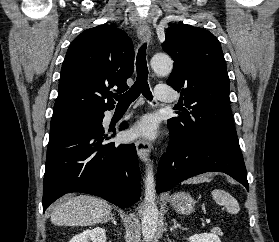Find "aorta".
Here are the masks:
<instances>
[{"mask_svg":"<svg viewBox=\"0 0 279 242\" xmlns=\"http://www.w3.org/2000/svg\"><path fill=\"white\" fill-rule=\"evenodd\" d=\"M151 67L157 75L165 76L173 69L172 59L165 54H156L151 59ZM145 197L142 214V234L146 242L151 241L157 232L159 211L155 202V181L152 164L149 163L144 180Z\"/></svg>","mask_w":279,"mask_h":242,"instance_id":"aorta-1","label":"aorta"}]
</instances>
